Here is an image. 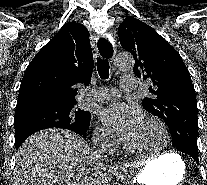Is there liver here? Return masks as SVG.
<instances>
[{
    "mask_svg": "<svg viewBox=\"0 0 207 185\" xmlns=\"http://www.w3.org/2000/svg\"><path fill=\"white\" fill-rule=\"evenodd\" d=\"M86 165H97V157L84 139L68 129H44L18 149L13 181L14 185H94Z\"/></svg>",
    "mask_w": 207,
    "mask_h": 185,
    "instance_id": "obj_1",
    "label": "liver"
}]
</instances>
